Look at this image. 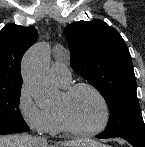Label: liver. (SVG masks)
<instances>
[{"mask_svg": "<svg viewBox=\"0 0 145 147\" xmlns=\"http://www.w3.org/2000/svg\"><path fill=\"white\" fill-rule=\"evenodd\" d=\"M0 147H102L93 140H72L48 146L40 144L36 138L28 135H5L0 136Z\"/></svg>", "mask_w": 145, "mask_h": 147, "instance_id": "1", "label": "liver"}]
</instances>
